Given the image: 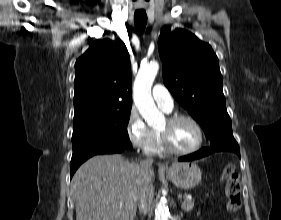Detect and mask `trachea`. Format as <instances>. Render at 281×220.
Here are the masks:
<instances>
[{
    "label": "trachea",
    "instance_id": "1",
    "mask_svg": "<svg viewBox=\"0 0 281 220\" xmlns=\"http://www.w3.org/2000/svg\"><path fill=\"white\" fill-rule=\"evenodd\" d=\"M134 23L136 29L142 33L146 27L147 15L144 10H137L134 14Z\"/></svg>",
    "mask_w": 281,
    "mask_h": 220
}]
</instances>
